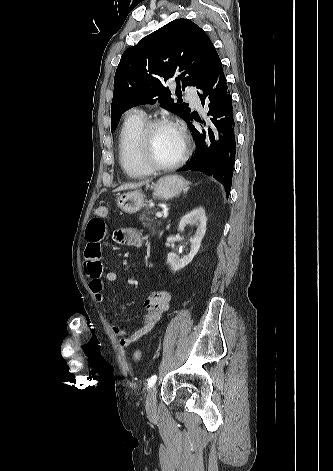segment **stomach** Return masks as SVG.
Returning <instances> with one entry per match:
<instances>
[{"label":"stomach","instance_id":"stomach-1","mask_svg":"<svg viewBox=\"0 0 333 471\" xmlns=\"http://www.w3.org/2000/svg\"><path fill=\"white\" fill-rule=\"evenodd\" d=\"M188 186V182L179 175H167L161 177L154 184V197L162 200L171 199L179 195ZM117 206L125 213L134 214L146 206L145 195L140 191H133L120 195L117 200Z\"/></svg>","mask_w":333,"mask_h":471}]
</instances>
